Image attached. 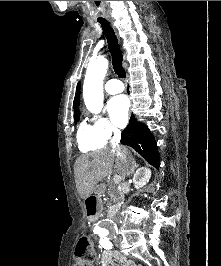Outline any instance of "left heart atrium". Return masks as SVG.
Wrapping results in <instances>:
<instances>
[{"mask_svg": "<svg viewBox=\"0 0 221 266\" xmlns=\"http://www.w3.org/2000/svg\"><path fill=\"white\" fill-rule=\"evenodd\" d=\"M129 102L124 95H118L110 99L108 112L114 124L124 126L128 118Z\"/></svg>", "mask_w": 221, "mask_h": 266, "instance_id": "1", "label": "left heart atrium"}]
</instances>
